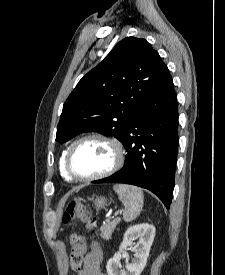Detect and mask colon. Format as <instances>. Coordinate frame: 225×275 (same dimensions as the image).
<instances>
[{
	"mask_svg": "<svg viewBox=\"0 0 225 275\" xmlns=\"http://www.w3.org/2000/svg\"><path fill=\"white\" fill-rule=\"evenodd\" d=\"M78 219L86 224L87 229L91 232L95 225V220L86 206L79 200H70L63 212L62 221L69 223ZM71 246L70 266L73 270L79 271L83 264V255L85 252L83 237L77 233H72L69 237Z\"/></svg>",
	"mask_w": 225,
	"mask_h": 275,
	"instance_id": "colon-1",
	"label": "colon"
}]
</instances>
